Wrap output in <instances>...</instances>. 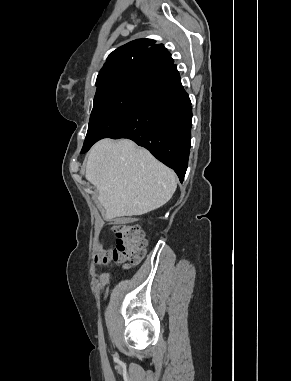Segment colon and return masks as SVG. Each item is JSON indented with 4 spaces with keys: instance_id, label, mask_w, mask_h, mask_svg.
I'll return each mask as SVG.
<instances>
[{
    "instance_id": "5ec220e1",
    "label": "colon",
    "mask_w": 291,
    "mask_h": 381,
    "mask_svg": "<svg viewBox=\"0 0 291 381\" xmlns=\"http://www.w3.org/2000/svg\"><path fill=\"white\" fill-rule=\"evenodd\" d=\"M116 246L111 250H101L98 261H115L124 266L138 264L144 256L145 240L138 225L118 222L112 225Z\"/></svg>"
}]
</instances>
